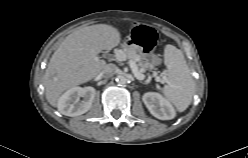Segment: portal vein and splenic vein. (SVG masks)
Instances as JSON below:
<instances>
[{
  "mask_svg": "<svg viewBox=\"0 0 248 158\" xmlns=\"http://www.w3.org/2000/svg\"><path fill=\"white\" fill-rule=\"evenodd\" d=\"M115 58H116L118 61H125L126 58H127V56H126V54H125V52H124L123 50H117V51L115 52ZM128 64H129V66H130V68H131V70H132V73L134 74V76H135L137 79L143 80V79L145 78L144 74H142V73L139 71V69H138L136 63H135L133 60H130ZM155 80H156L157 82H161V81H162V79H161L160 77H156Z\"/></svg>",
  "mask_w": 248,
  "mask_h": 158,
  "instance_id": "obj_1",
  "label": "portal vein and splenic vein"
}]
</instances>
